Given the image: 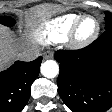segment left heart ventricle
I'll use <instances>...</instances> for the list:
<instances>
[{"label":"left heart ventricle","mask_w":112,"mask_h":112,"mask_svg":"<svg viewBox=\"0 0 112 112\" xmlns=\"http://www.w3.org/2000/svg\"><path fill=\"white\" fill-rule=\"evenodd\" d=\"M96 23L93 19H86L79 29V37L80 38H87L89 37L95 30Z\"/></svg>","instance_id":"obj_1"}]
</instances>
